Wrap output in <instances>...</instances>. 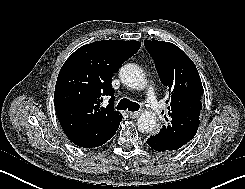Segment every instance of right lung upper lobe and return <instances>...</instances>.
<instances>
[{
    "instance_id": "cb5924a9",
    "label": "right lung upper lobe",
    "mask_w": 245,
    "mask_h": 189,
    "mask_svg": "<svg viewBox=\"0 0 245 189\" xmlns=\"http://www.w3.org/2000/svg\"><path fill=\"white\" fill-rule=\"evenodd\" d=\"M140 46L139 41H96L77 49L63 64L54 103L59 122L74 144L96 147L115 135L123 116L113 109L112 77ZM104 96H110L106 107L100 105Z\"/></svg>"
}]
</instances>
